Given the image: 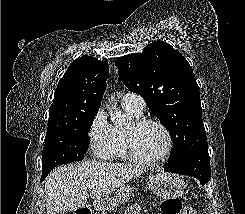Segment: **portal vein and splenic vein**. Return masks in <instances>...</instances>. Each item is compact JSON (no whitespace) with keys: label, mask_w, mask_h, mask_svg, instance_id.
<instances>
[{"label":"portal vein and splenic vein","mask_w":245,"mask_h":214,"mask_svg":"<svg viewBox=\"0 0 245 214\" xmlns=\"http://www.w3.org/2000/svg\"><path fill=\"white\" fill-rule=\"evenodd\" d=\"M94 187H95L94 184H89V185H88V188H89V189H94Z\"/></svg>","instance_id":"1"}]
</instances>
